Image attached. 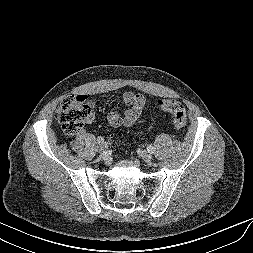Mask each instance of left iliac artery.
<instances>
[{"instance_id": "44dca946", "label": "left iliac artery", "mask_w": 253, "mask_h": 253, "mask_svg": "<svg viewBox=\"0 0 253 253\" xmlns=\"http://www.w3.org/2000/svg\"><path fill=\"white\" fill-rule=\"evenodd\" d=\"M147 150H148L149 152H153V151H154V148H153V146L148 145V146H147Z\"/></svg>"}]
</instances>
